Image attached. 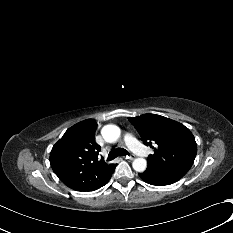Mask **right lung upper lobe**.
<instances>
[{"label":"right lung upper lobe","instance_id":"right-lung-upper-lobe-1","mask_svg":"<svg viewBox=\"0 0 233 233\" xmlns=\"http://www.w3.org/2000/svg\"><path fill=\"white\" fill-rule=\"evenodd\" d=\"M97 123L84 120L70 129L53 146L50 164L59 179L76 191H93L102 186L116 164L98 159L100 146L95 142Z\"/></svg>","mask_w":233,"mask_h":233}]
</instances>
